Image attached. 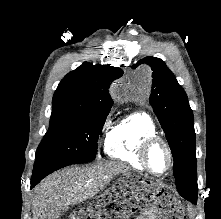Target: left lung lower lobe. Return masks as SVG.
Instances as JSON below:
<instances>
[{
    "mask_svg": "<svg viewBox=\"0 0 221 219\" xmlns=\"http://www.w3.org/2000/svg\"><path fill=\"white\" fill-rule=\"evenodd\" d=\"M196 201H197V198H196V199H194V201H193V202H194V203H196Z\"/></svg>",
    "mask_w": 221,
    "mask_h": 219,
    "instance_id": "obj_1",
    "label": "left lung lower lobe"
}]
</instances>
